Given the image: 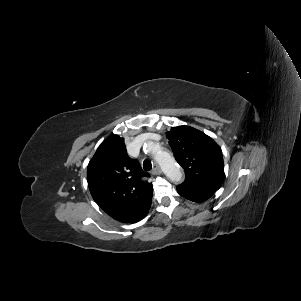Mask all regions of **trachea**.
Instances as JSON below:
<instances>
[{
    "label": "trachea",
    "mask_w": 301,
    "mask_h": 301,
    "mask_svg": "<svg viewBox=\"0 0 301 301\" xmlns=\"http://www.w3.org/2000/svg\"><path fill=\"white\" fill-rule=\"evenodd\" d=\"M143 168L145 171H150L152 169V164L150 160H145L143 162Z\"/></svg>",
    "instance_id": "1"
}]
</instances>
